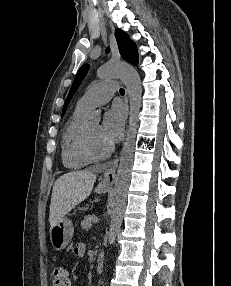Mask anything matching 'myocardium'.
Returning <instances> with one entry per match:
<instances>
[{
    "label": "myocardium",
    "instance_id": "obj_1",
    "mask_svg": "<svg viewBox=\"0 0 231 286\" xmlns=\"http://www.w3.org/2000/svg\"><path fill=\"white\" fill-rule=\"evenodd\" d=\"M112 149L110 146L104 153L95 154L90 147L87 126L83 125L78 139V152L87 162L96 163L107 159L112 153Z\"/></svg>",
    "mask_w": 231,
    "mask_h": 286
}]
</instances>
